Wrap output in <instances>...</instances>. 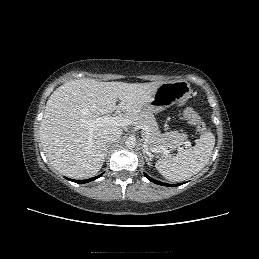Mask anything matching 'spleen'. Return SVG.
Listing matches in <instances>:
<instances>
[{
  "label": "spleen",
  "mask_w": 259,
  "mask_h": 259,
  "mask_svg": "<svg viewBox=\"0 0 259 259\" xmlns=\"http://www.w3.org/2000/svg\"><path fill=\"white\" fill-rule=\"evenodd\" d=\"M214 145L215 137L208 130L201 135L194 147L180 150L173 157L158 160L155 167L165 179L171 182L187 180L205 167Z\"/></svg>",
  "instance_id": "3e777b00"
}]
</instances>
